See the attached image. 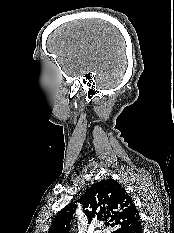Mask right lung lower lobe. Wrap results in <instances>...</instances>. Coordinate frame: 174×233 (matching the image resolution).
<instances>
[{"label": "right lung lower lobe", "mask_w": 174, "mask_h": 233, "mask_svg": "<svg viewBox=\"0 0 174 233\" xmlns=\"http://www.w3.org/2000/svg\"><path fill=\"white\" fill-rule=\"evenodd\" d=\"M131 233H142V226L140 225L139 227H137L134 231H132Z\"/></svg>", "instance_id": "98d812e1"}]
</instances>
